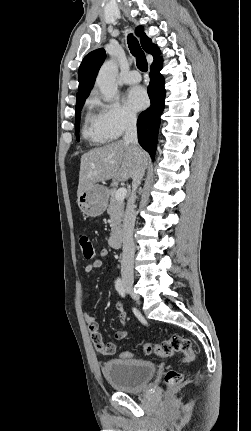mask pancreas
I'll use <instances>...</instances> for the list:
<instances>
[{"label":"pancreas","mask_w":251,"mask_h":431,"mask_svg":"<svg viewBox=\"0 0 251 431\" xmlns=\"http://www.w3.org/2000/svg\"><path fill=\"white\" fill-rule=\"evenodd\" d=\"M116 189H110L108 192L109 204L107 205V213L111 219V232L112 234H119L121 232L122 221L124 217V202L115 199Z\"/></svg>","instance_id":"1"}]
</instances>
